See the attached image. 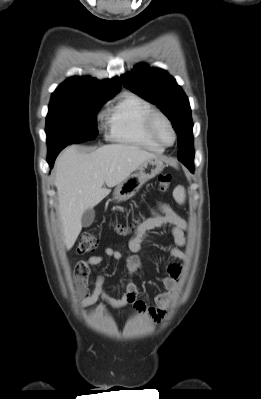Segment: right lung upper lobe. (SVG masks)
<instances>
[{"label":"right lung upper lobe","mask_w":261,"mask_h":399,"mask_svg":"<svg viewBox=\"0 0 261 399\" xmlns=\"http://www.w3.org/2000/svg\"><path fill=\"white\" fill-rule=\"evenodd\" d=\"M118 77L98 81L91 77H71L52 94L53 99L112 98L121 90Z\"/></svg>","instance_id":"obj_1"}]
</instances>
